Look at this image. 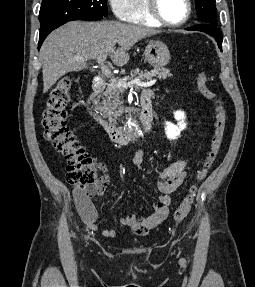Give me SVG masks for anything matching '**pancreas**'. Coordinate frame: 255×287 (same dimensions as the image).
<instances>
[{"label":"pancreas","mask_w":255,"mask_h":287,"mask_svg":"<svg viewBox=\"0 0 255 287\" xmlns=\"http://www.w3.org/2000/svg\"><path fill=\"white\" fill-rule=\"evenodd\" d=\"M170 78L173 74H170V70L167 68H154V70H133L130 76H124L121 78V82H131V80H152V78ZM118 82L114 80V82H110L107 84V88L105 92H103L102 102H100L101 106L98 108L100 112H103V118H108L109 122H113L116 124V120H118L119 116H122V112H124V108H121V96L124 94L127 88H117Z\"/></svg>","instance_id":"1"}]
</instances>
